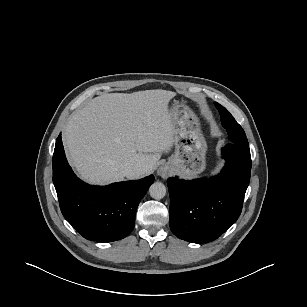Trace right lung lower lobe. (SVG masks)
Returning <instances> with one entry per match:
<instances>
[{
	"label": "right lung lower lobe",
	"instance_id": "obj_1",
	"mask_svg": "<svg viewBox=\"0 0 307 307\" xmlns=\"http://www.w3.org/2000/svg\"><path fill=\"white\" fill-rule=\"evenodd\" d=\"M52 166L61 212L84 238L111 242L129 235L135 225L136 209L153 183V175L108 186L88 185L69 166L60 135Z\"/></svg>",
	"mask_w": 307,
	"mask_h": 307
}]
</instances>
